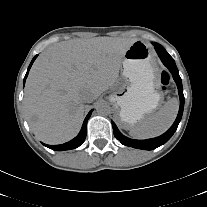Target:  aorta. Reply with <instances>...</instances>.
<instances>
[{
  "label": "aorta",
  "mask_w": 207,
  "mask_h": 207,
  "mask_svg": "<svg viewBox=\"0 0 207 207\" xmlns=\"http://www.w3.org/2000/svg\"><path fill=\"white\" fill-rule=\"evenodd\" d=\"M96 111L99 115L107 116L110 114L111 108L107 103L102 102L97 105Z\"/></svg>",
  "instance_id": "1"
}]
</instances>
